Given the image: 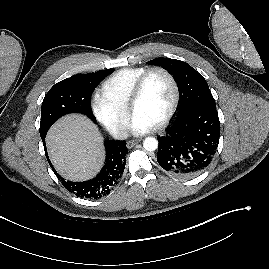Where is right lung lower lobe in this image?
I'll use <instances>...</instances> for the list:
<instances>
[{
  "label": "right lung lower lobe",
  "instance_id": "right-lung-lower-lobe-1",
  "mask_svg": "<svg viewBox=\"0 0 269 269\" xmlns=\"http://www.w3.org/2000/svg\"><path fill=\"white\" fill-rule=\"evenodd\" d=\"M42 141L47 160L52 167L46 151L45 138H42ZM105 148V165L95 178L84 182H71L66 181L58 173H55L69 192L83 198L99 199L108 195L115 185L118 184V180L121 178L125 168V158L128 153L126 142L107 140L105 141Z\"/></svg>",
  "mask_w": 269,
  "mask_h": 269
}]
</instances>
